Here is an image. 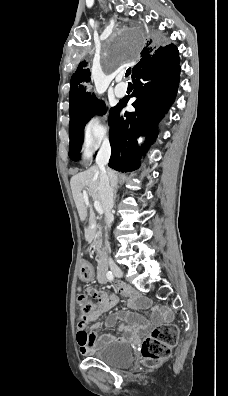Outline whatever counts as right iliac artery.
<instances>
[{"label":"right iliac artery","instance_id":"right-iliac-artery-1","mask_svg":"<svg viewBox=\"0 0 228 396\" xmlns=\"http://www.w3.org/2000/svg\"><path fill=\"white\" fill-rule=\"evenodd\" d=\"M106 276H107V278H108L110 281L114 279V276H113V274H112L111 271H108V272L106 273Z\"/></svg>","mask_w":228,"mask_h":396}]
</instances>
